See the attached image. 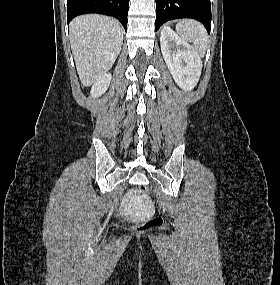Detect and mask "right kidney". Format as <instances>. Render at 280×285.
I'll return each instance as SVG.
<instances>
[{
    "label": "right kidney",
    "instance_id": "ca27d5eb",
    "mask_svg": "<svg viewBox=\"0 0 280 285\" xmlns=\"http://www.w3.org/2000/svg\"><path fill=\"white\" fill-rule=\"evenodd\" d=\"M111 79V74L105 73L102 77L95 81L90 91L91 96L96 98L104 94L110 85Z\"/></svg>",
    "mask_w": 280,
    "mask_h": 285
}]
</instances>
